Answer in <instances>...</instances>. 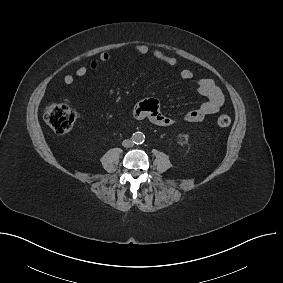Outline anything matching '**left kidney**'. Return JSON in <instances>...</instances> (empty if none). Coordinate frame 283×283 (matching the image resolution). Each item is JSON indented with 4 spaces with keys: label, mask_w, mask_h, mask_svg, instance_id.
I'll use <instances>...</instances> for the list:
<instances>
[{
    "label": "left kidney",
    "mask_w": 283,
    "mask_h": 283,
    "mask_svg": "<svg viewBox=\"0 0 283 283\" xmlns=\"http://www.w3.org/2000/svg\"><path fill=\"white\" fill-rule=\"evenodd\" d=\"M179 137H180V138H185V139H187V138H188V135H187V134H180Z\"/></svg>",
    "instance_id": "obj_1"
}]
</instances>
